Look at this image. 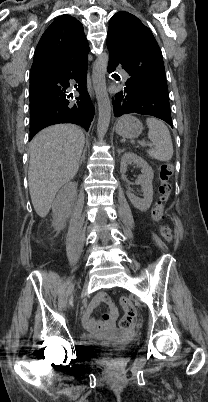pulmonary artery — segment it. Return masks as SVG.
<instances>
[{
  "label": "pulmonary artery",
  "mask_w": 208,
  "mask_h": 402,
  "mask_svg": "<svg viewBox=\"0 0 208 402\" xmlns=\"http://www.w3.org/2000/svg\"><path fill=\"white\" fill-rule=\"evenodd\" d=\"M119 71L122 72V73L124 72V70L122 68H119Z\"/></svg>",
  "instance_id": "pulmonary-artery-1"
}]
</instances>
